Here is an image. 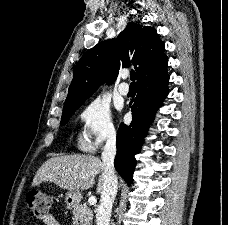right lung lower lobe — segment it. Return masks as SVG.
Masks as SVG:
<instances>
[{"instance_id":"obj_1","label":"right lung lower lobe","mask_w":228,"mask_h":225,"mask_svg":"<svg viewBox=\"0 0 228 225\" xmlns=\"http://www.w3.org/2000/svg\"><path fill=\"white\" fill-rule=\"evenodd\" d=\"M168 59L164 54L137 77V96L130 102L132 122L129 126L121 124L117 133V155L115 168L130 186L142 138L146 135L155 112L168 93Z\"/></svg>"}]
</instances>
